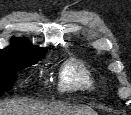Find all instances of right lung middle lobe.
Returning a JSON list of instances; mask_svg holds the SVG:
<instances>
[{
    "mask_svg": "<svg viewBox=\"0 0 131 115\" xmlns=\"http://www.w3.org/2000/svg\"><path fill=\"white\" fill-rule=\"evenodd\" d=\"M44 56L45 54L22 56L10 62L8 67L0 68V96H2L5 92H8L13 87L17 78L16 71L36 64Z\"/></svg>",
    "mask_w": 131,
    "mask_h": 115,
    "instance_id": "right-lung-middle-lobe-1",
    "label": "right lung middle lobe"
}]
</instances>
